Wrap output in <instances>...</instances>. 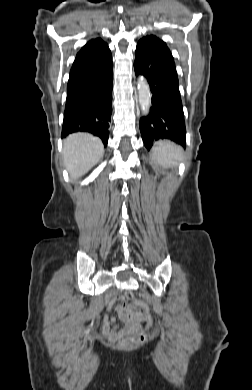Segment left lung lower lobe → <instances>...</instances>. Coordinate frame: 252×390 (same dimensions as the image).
<instances>
[{"instance_id":"obj_1","label":"left lung lower lobe","mask_w":252,"mask_h":390,"mask_svg":"<svg viewBox=\"0 0 252 390\" xmlns=\"http://www.w3.org/2000/svg\"><path fill=\"white\" fill-rule=\"evenodd\" d=\"M134 70L147 79L152 92V106L139 123L145 147L149 150L159 139H171L185 146L183 105L173 58L155 44L139 41Z\"/></svg>"}]
</instances>
